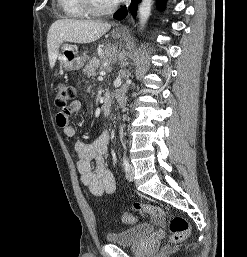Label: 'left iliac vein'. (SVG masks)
Masks as SVG:
<instances>
[{
	"mask_svg": "<svg viewBox=\"0 0 247 257\" xmlns=\"http://www.w3.org/2000/svg\"><path fill=\"white\" fill-rule=\"evenodd\" d=\"M126 179L128 181H133L134 180V167L132 165H129V169L126 172Z\"/></svg>",
	"mask_w": 247,
	"mask_h": 257,
	"instance_id": "obj_1",
	"label": "left iliac vein"
}]
</instances>
